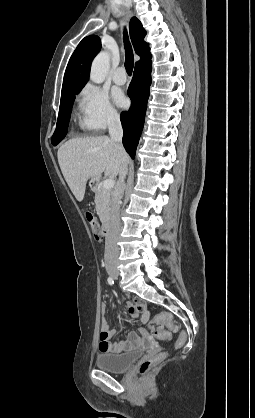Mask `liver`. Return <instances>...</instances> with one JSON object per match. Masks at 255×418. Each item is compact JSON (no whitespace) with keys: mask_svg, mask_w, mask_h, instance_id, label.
Masks as SVG:
<instances>
[{"mask_svg":"<svg viewBox=\"0 0 255 418\" xmlns=\"http://www.w3.org/2000/svg\"><path fill=\"white\" fill-rule=\"evenodd\" d=\"M62 174L77 201L85 195L86 183L103 172L114 178L119 174L122 159L129 161L123 147L107 136L73 138L58 149Z\"/></svg>","mask_w":255,"mask_h":418,"instance_id":"1","label":"liver"}]
</instances>
